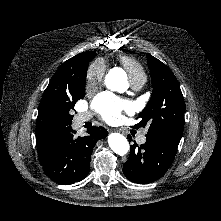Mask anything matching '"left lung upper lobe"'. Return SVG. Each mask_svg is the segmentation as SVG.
Instances as JSON below:
<instances>
[{
	"mask_svg": "<svg viewBox=\"0 0 221 221\" xmlns=\"http://www.w3.org/2000/svg\"><path fill=\"white\" fill-rule=\"evenodd\" d=\"M152 82V96L139 114L135 128L149 125L147 135L168 133L182 136L185 103L179 83L172 71L160 60L147 54Z\"/></svg>",
	"mask_w": 221,
	"mask_h": 221,
	"instance_id": "obj_1",
	"label": "left lung upper lobe"
}]
</instances>
